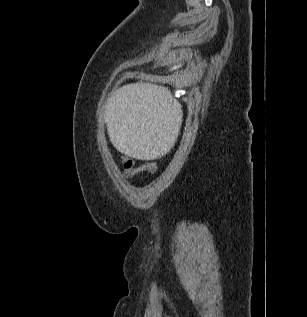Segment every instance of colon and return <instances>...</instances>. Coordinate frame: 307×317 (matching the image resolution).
Returning a JSON list of instances; mask_svg holds the SVG:
<instances>
[{"instance_id": "obj_1", "label": "colon", "mask_w": 307, "mask_h": 317, "mask_svg": "<svg viewBox=\"0 0 307 317\" xmlns=\"http://www.w3.org/2000/svg\"><path fill=\"white\" fill-rule=\"evenodd\" d=\"M121 161L123 164V174L126 178L133 177L134 175L144 171L154 174L157 170L155 162L149 161L136 166L135 160L128 156H123Z\"/></svg>"}]
</instances>
